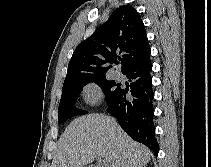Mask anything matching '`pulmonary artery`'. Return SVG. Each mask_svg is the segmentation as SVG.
I'll use <instances>...</instances> for the list:
<instances>
[{"label": "pulmonary artery", "instance_id": "obj_1", "mask_svg": "<svg viewBox=\"0 0 211 167\" xmlns=\"http://www.w3.org/2000/svg\"><path fill=\"white\" fill-rule=\"evenodd\" d=\"M115 77L118 79V80H122L124 78L123 74L120 72V71H116L115 72Z\"/></svg>", "mask_w": 211, "mask_h": 167}]
</instances>
